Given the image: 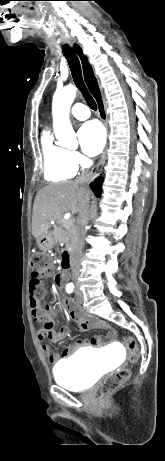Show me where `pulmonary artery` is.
Listing matches in <instances>:
<instances>
[{
    "mask_svg": "<svg viewBox=\"0 0 165 461\" xmlns=\"http://www.w3.org/2000/svg\"><path fill=\"white\" fill-rule=\"evenodd\" d=\"M70 113L73 117H75L78 120H85L89 118L90 116V112L88 108L84 104H81V103H77L73 105L70 110Z\"/></svg>",
    "mask_w": 165,
    "mask_h": 461,
    "instance_id": "obj_1",
    "label": "pulmonary artery"
}]
</instances>
